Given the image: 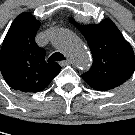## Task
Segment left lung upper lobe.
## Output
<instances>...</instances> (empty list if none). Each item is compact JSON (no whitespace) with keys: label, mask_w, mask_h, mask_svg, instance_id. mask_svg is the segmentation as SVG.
Instances as JSON below:
<instances>
[{"label":"left lung upper lobe","mask_w":135,"mask_h":135,"mask_svg":"<svg viewBox=\"0 0 135 135\" xmlns=\"http://www.w3.org/2000/svg\"><path fill=\"white\" fill-rule=\"evenodd\" d=\"M71 21L86 38L93 55L90 70L82 74L89 86L98 91H107L131 77L135 70L133 48L110 19L81 26L73 19Z\"/></svg>","instance_id":"left-lung-upper-lobe-1"}]
</instances>
